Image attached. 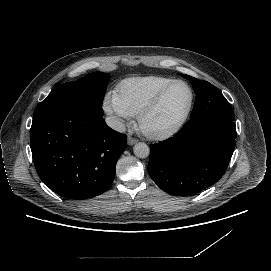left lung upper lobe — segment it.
Masks as SVG:
<instances>
[{
    "label": "left lung upper lobe",
    "mask_w": 271,
    "mask_h": 271,
    "mask_svg": "<svg viewBox=\"0 0 271 271\" xmlns=\"http://www.w3.org/2000/svg\"><path fill=\"white\" fill-rule=\"evenodd\" d=\"M183 77L191 81L196 93L195 105L190 118L204 114L234 115L230 104L215 86L186 74H183Z\"/></svg>",
    "instance_id": "obj_1"
}]
</instances>
